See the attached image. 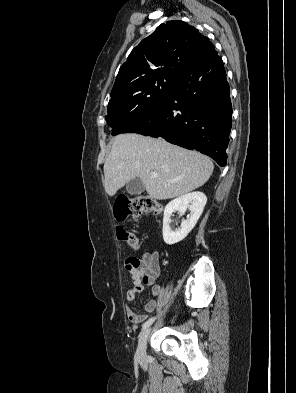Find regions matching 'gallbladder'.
<instances>
[{"label": "gallbladder", "instance_id": "gallbladder-1", "mask_svg": "<svg viewBox=\"0 0 296 393\" xmlns=\"http://www.w3.org/2000/svg\"><path fill=\"white\" fill-rule=\"evenodd\" d=\"M126 191L131 195H139L145 191V186L139 178H134L126 184Z\"/></svg>", "mask_w": 296, "mask_h": 393}]
</instances>
